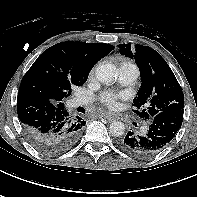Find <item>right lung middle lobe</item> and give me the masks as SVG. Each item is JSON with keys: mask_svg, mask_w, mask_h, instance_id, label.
<instances>
[{"mask_svg": "<svg viewBox=\"0 0 197 197\" xmlns=\"http://www.w3.org/2000/svg\"><path fill=\"white\" fill-rule=\"evenodd\" d=\"M33 89L46 96L53 103H63L71 93V85H63L47 77H36L32 81Z\"/></svg>", "mask_w": 197, "mask_h": 197, "instance_id": "obj_1", "label": "right lung middle lobe"}]
</instances>
